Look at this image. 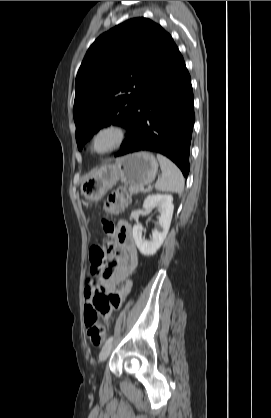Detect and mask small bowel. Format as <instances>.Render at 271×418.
<instances>
[{
	"label": "small bowel",
	"mask_w": 271,
	"mask_h": 418,
	"mask_svg": "<svg viewBox=\"0 0 271 418\" xmlns=\"http://www.w3.org/2000/svg\"><path fill=\"white\" fill-rule=\"evenodd\" d=\"M109 256L115 262L111 274L103 278L99 286L95 282L88 283L84 291L85 311L93 307L98 291L109 298L110 304L103 312L105 317H109L112 312L119 309L122 301L129 294L132 287L130 275L138 263V252L132 228L128 223L119 222L117 243ZM118 284H122V287L118 288Z\"/></svg>",
	"instance_id": "obj_1"
}]
</instances>
